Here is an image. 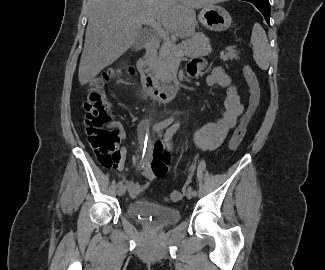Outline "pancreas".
Returning a JSON list of instances; mask_svg holds the SVG:
<instances>
[{"mask_svg": "<svg viewBox=\"0 0 325 270\" xmlns=\"http://www.w3.org/2000/svg\"><path fill=\"white\" fill-rule=\"evenodd\" d=\"M212 52L210 40L203 34L194 36L179 44L174 42H164L159 50V56L154 67L156 77L163 84L172 81V73L176 63L182 56L200 57L209 55ZM220 59L223 61L237 60L238 54L233 47H227L226 51L220 53Z\"/></svg>", "mask_w": 325, "mask_h": 270, "instance_id": "pancreas-1", "label": "pancreas"}]
</instances>
